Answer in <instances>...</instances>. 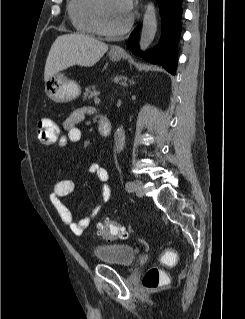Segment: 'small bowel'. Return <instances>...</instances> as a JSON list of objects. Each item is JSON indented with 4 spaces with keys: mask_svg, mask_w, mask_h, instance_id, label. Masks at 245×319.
I'll return each instance as SVG.
<instances>
[{
    "mask_svg": "<svg viewBox=\"0 0 245 319\" xmlns=\"http://www.w3.org/2000/svg\"><path fill=\"white\" fill-rule=\"evenodd\" d=\"M90 108H78L74 110L63 122V134L59 138L58 145L66 147L70 144L79 143L82 140V131L78 127L86 115L90 114ZM90 171L97 177L102 184L100 200L91 209L89 214L81 220L75 221L69 208L63 204L61 198L71 194L75 189V182L70 179H63L55 183L53 190L50 194V200L56 211L58 212L62 221L68 225L75 235H82L85 233L91 223L103 211L107 204L111 201L112 190L109 185L108 171L98 165L93 164Z\"/></svg>",
    "mask_w": 245,
    "mask_h": 319,
    "instance_id": "1",
    "label": "small bowel"
}]
</instances>
